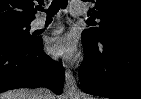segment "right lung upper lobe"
<instances>
[{"label": "right lung upper lobe", "instance_id": "obj_1", "mask_svg": "<svg viewBox=\"0 0 141 99\" xmlns=\"http://www.w3.org/2000/svg\"><path fill=\"white\" fill-rule=\"evenodd\" d=\"M38 0H0V22L32 21Z\"/></svg>", "mask_w": 141, "mask_h": 99}]
</instances>
